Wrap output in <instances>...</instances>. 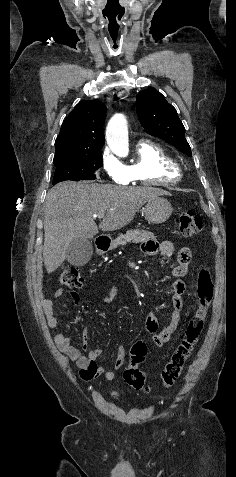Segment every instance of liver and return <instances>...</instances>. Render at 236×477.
Returning <instances> with one entry per match:
<instances>
[{"instance_id": "6515ba94", "label": "liver", "mask_w": 236, "mask_h": 477, "mask_svg": "<svg viewBox=\"0 0 236 477\" xmlns=\"http://www.w3.org/2000/svg\"><path fill=\"white\" fill-rule=\"evenodd\" d=\"M169 195L154 187H127L89 182H62L47 193L44 205L43 259L54 272L66 258L70 243L98 234L93 215L106 214L99 229L115 231L128 225L151 199Z\"/></svg>"}]
</instances>
